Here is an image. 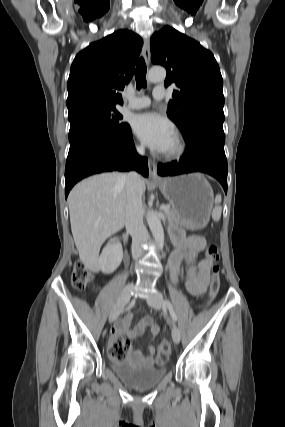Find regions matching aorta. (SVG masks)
<instances>
[{
  "label": "aorta",
  "instance_id": "aorta-1",
  "mask_svg": "<svg viewBox=\"0 0 285 427\" xmlns=\"http://www.w3.org/2000/svg\"><path fill=\"white\" fill-rule=\"evenodd\" d=\"M166 70L163 67H152L147 75V80L151 83H159L165 80ZM147 223L152 232V235L159 248L164 246V230L158 216L150 211L147 213Z\"/></svg>",
  "mask_w": 285,
  "mask_h": 427
}]
</instances>
